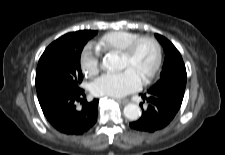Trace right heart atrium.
<instances>
[{
    "label": "right heart atrium",
    "mask_w": 225,
    "mask_h": 155,
    "mask_svg": "<svg viewBox=\"0 0 225 155\" xmlns=\"http://www.w3.org/2000/svg\"><path fill=\"white\" fill-rule=\"evenodd\" d=\"M80 65L83 73L86 76H94L100 70V58L97 50L91 45H88L82 51L80 57Z\"/></svg>",
    "instance_id": "obj_1"
}]
</instances>
